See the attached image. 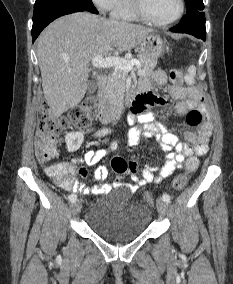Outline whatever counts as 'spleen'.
<instances>
[{"label": "spleen", "mask_w": 233, "mask_h": 284, "mask_svg": "<svg viewBox=\"0 0 233 284\" xmlns=\"http://www.w3.org/2000/svg\"><path fill=\"white\" fill-rule=\"evenodd\" d=\"M195 75H196V67L195 66L189 67L188 74L185 77V81L188 84H193L195 82Z\"/></svg>", "instance_id": "spleen-1"}]
</instances>
